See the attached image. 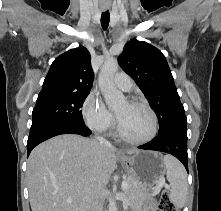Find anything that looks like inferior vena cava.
I'll use <instances>...</instances> for the list:
<instances>
[{"label": "inferior vena cava", "mask_w": 221, "mask_h": 211, "mask_svg": "<svg viewBox=\"0 0 221 211\" xmlns=\"http://www.w3.org/2000/svg\"><path fill=\"white\" fill-rule=\"evenodd\" d=\"M96 140L101 143L105 144L107 146H110V143L103 137L97 136ZM90 211H103V201L101 199V196H98L91 204Z\"/></svg>", "instance_id": "1"}]
</instances>
